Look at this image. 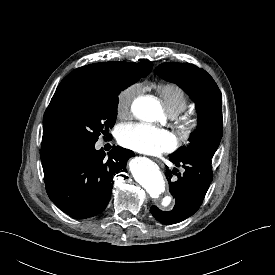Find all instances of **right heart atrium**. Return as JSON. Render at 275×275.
I'll use <instances>...</instances> for the list:
<instances>
[{
    "instance_id": "1",
    "label": "right heart atrium",
    "mask_w": 275,
    "mask_h": 275,
    "mask_svg": "<svg viewBox=\"0 0 275 275\" xmlns=\"http://www.w3.org/2000/svg\"><path fill=\"white\" fill-rule=\"evenodd\" d=\"M142 90L143 87L140 83L130 84L120 90L116 99V112L118 117L125 118L130 115L132 104Z\"/></svg>"
}]
</instances>
